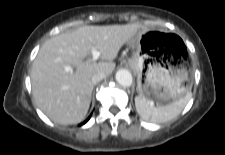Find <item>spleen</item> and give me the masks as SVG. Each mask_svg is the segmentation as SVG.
<instances>
[{"mask_svg": "<svg viewBox=\"0 0 225 155\" xmlns=\"http://www.w3.org/2000/svg\"><path fill=\"white\" fill-rule=\"evenodd\" d=\"M191 95V91H189L183 98L162 106H154L153 102L139 95L135 98V106L143 120L153 123H164L174 119L182 112Z\"/></svg>", "mask_w": 225, "mask_h": 155, "instance_id": "3e777b00", "label": "spleen"}]
</instances>
